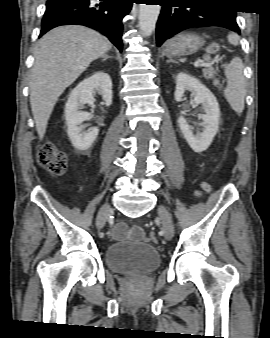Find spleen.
I'll return each instance as SVG.
<instances>
[{"instance_id": "3e777b00", "label": "spleen", "mask_w": 270, "mask_h": 338, "mask_svg": "<svg viewBox=\"0 0 270 338\" xmlns=\"http://www.w3.org/2000/svg\"><path fill=\"white\" fill-rule=\"evenodd\" d=\"M227 78V87L224 96L229 105L237 113L244 109V99L246 95V82L243 74L244 65L239 57H234L229 63L223 65Z\"/></svg>"}]
</instances>
